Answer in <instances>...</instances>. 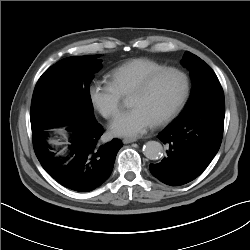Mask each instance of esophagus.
Listing matches in <instances>:
<instances>
[{
  "instance_id": "obj_1",
  "label": "esophagus",
  "mask_w": 250,
  "mask_h": 250,
  "mask_svg": "<svg viewBox=\"0 0 250 250\" xmlns=\"http://www.w3.org/2000/svg\"><path fill=\"white\" fill-rule=\"evenodd\" d=\"M122 141H123L124 144H129V143L136 142L137 139H135V138H124Z\"/></svg>"
}]
</instances>
